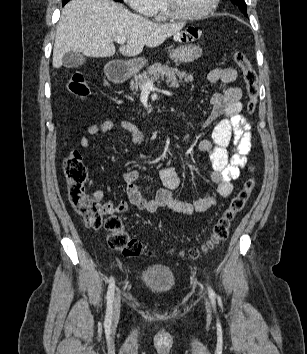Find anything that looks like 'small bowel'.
<instances>
[{"label":"small bowel","mask_w":307,"mask_h":354,"mask_svg":"<svg viewBox=\"0 0 307 354\" xmlns=\"http://www.w3.org/2000/svg\"><path fill=\"white\" fill-rule=\"evenodd\" d=\"M185 35V29L177 32L178 38H183ZM236 79L237 72L230 67L215 68L208 74V80L211 83H221L223 90L214 94L210 101L211 112L205 127L217 121L213 127L211 139L200 141L198 148L205 154L206 163L211 170V181L216 186L215 190L193 202L179 200L173 191L180 188L181 178L174 166H166L160 171V178L165 188L158 190L154 198L145 199L136 184L139 172L131 169L123 174L130 204L148 213H155L159 208L165 207L180 214L192 215L207 211L216 205L218 200L227 198L231 194L232 181L239 178L240 170L245 166L251 148L250 125L241 114L242 90L232 85ZM114 129L128 132L134 143L142 144L145 141L143 131L132 122L128 120L116 122L109 119L90 125L87 134L80 139V145L88 148L93 137ZM184 140L188 142L189 138L185 137ZM230 145L233 147L232 155L228 152ZM92 196L100 202L104 198V191L96 189L92 192ZM104 205L108 214L121 213L128 209V203L124 201L118 204L106 202Z\"/></svg>","instance_id":"c3829d8e"}]
</instances>
